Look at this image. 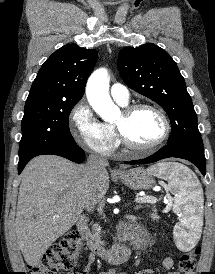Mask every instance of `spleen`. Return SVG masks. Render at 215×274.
Returning a JSON list of instances; mask_svg holds the SVG:
<instances>
[{
    "label": "spleen",
    "instance_id": "1",
    "mask_svg": "<svg viewBox=\"0 0 215 274\" xmlns=\"http://www.w3.org/2000/svg\"><path fill=\"white\" fill-rule=\"evenodd\" d=\"M153 175L168 181V190L174 195L173 211L180 215L174 227L177 244L186 240L194 245L200 237L203 213V190L195 174L178 163H159L148 168Z\"/></svg>",
    "mask_w": 215,
    "mask_h": 274
}]
</instances>
